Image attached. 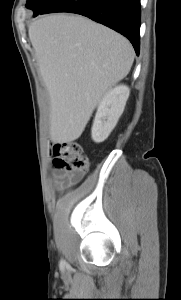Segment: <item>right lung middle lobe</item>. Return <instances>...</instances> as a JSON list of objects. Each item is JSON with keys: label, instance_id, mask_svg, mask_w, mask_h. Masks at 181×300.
Masks as SVG:
<instances>
[{"label": "right lung middle lobe", "instance_id": "1", "mask_svg": "<svg viewBox=\"0 0 181 300\" xmlns=\"http://www.w3.org/2000/svg\"><path fill=\"white\" fill-rule=\"evenodd\" d=\"M54 1L56 0H27L26 8L31 9L37 15Z\"/></svg>", "mask_w": 181, "mask_h": 300}]
</instances>
